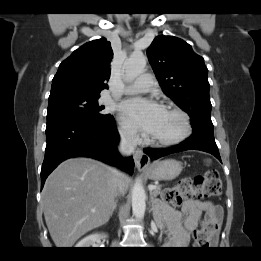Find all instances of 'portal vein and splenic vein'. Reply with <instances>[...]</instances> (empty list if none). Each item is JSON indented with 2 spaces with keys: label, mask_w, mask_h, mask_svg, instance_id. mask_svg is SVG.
<instances>
[{
  "label": "portal vein and splenic vein",
  "mask_w": 261,
  "mask_h": 261,
  "mask_svg": "<svg viewBox=\"0 0 261 261\" xmlns=\"http://www.w3.org/2000/svg\"><path fill=\"white\" fill-rule=\"evenodd\" d=\"M148 188H149L150 191H152V190L158 188V186L157 185H149Z\"/></svg>",
  "instance_id": "1"
}]
</instances>
